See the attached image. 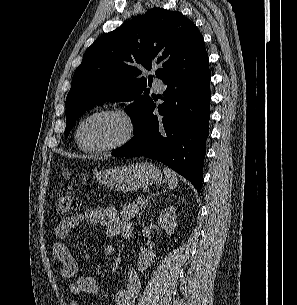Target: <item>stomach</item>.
<instances>
[{"label": "stomach", "mask_w": 297, "mask_h": 305, "mask_svg": "<svg viewBox=\"0 0 297 305\" xmlns=\"http://www.w3.org/2000/svg\"><path fill=\"white\" fill-rule=\"evenodd\" d=\"M93 174L100 184L119 192H133L145 186L159 184L163 178L161 171L149 162L94 171ZM71 175V170L62 168L65 179H70Z\"/></svg>", "instance_id": "1"}]
</instances>
